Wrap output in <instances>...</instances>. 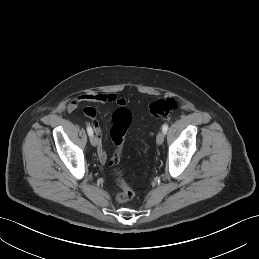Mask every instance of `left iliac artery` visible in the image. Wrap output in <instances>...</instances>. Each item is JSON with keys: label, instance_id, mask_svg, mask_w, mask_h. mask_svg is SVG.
<instances>
[{"label": "left iliac artery", "instance_id": "left-iliac-artery-1", "mask_svg": "<svg viewBox=\"0 0 259 259\" xmlns=\"http://www.w3.org/2000/svg\"><path fill=\"white\" fill-rule=\"evenodd\" d=\"M162 131L166 134V132L168 131V125L167 124H164L162 126Z\"/></svg>", "mask_w": 259, "mask_h": 259}]
</instances>
